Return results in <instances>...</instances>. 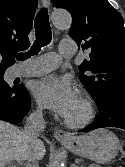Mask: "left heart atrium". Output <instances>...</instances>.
<instances>
[{"label":"left heart atrium","instance_id":"left-heart-atrium-1","mask_svg":"<svg viewBox=\"0 0 125 167\" xmlns=\"http://www.w3.org/2000/svg\"><path fill=\"white\" fill-rule=\"evenodd\" d=\"M32 93L42 106L65 117L78 99L71 80L57 74H50L37 80L32 86Z\"/></svg>","mask_w":125,"mask_h":167}]
</instances>
